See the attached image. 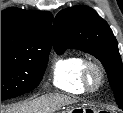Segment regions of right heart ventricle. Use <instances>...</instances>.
<instances>
[{
    "label": "right heart ventricle",
    "instance_id": "1",
    "mask_svg": "<svg viewBox=\"0 0 123 113\" xmlns=\"http://www.w3.org/2000/svg\"><path fill=\"white\" fill-rule=\"evenodd\" d=\"M85 59L77 54L57 57L52 64V83L56 88L76 92L84 88L82 68Z\"/></svg>",
    "mask_w": 123,
    "mask_h": 113
}]
</instances>
